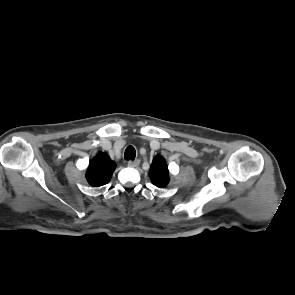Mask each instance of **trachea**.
Wrapping results in <instances>:
<instances>
[{"label": "trachea", "mask_w": 295, "mask_h": 295, "mask_svg": "<svg viewBox=\"0 0 295 295\" xmlns=\"http://www.w3.org/2000/svg\"><path fill=\"white\" fill-rule=\"evenodd\" d=\"M136 157V150L133 146H128L124 153V158L126 160H134Z\"/></svg>", "instance_id": "1"}]
</instances>
